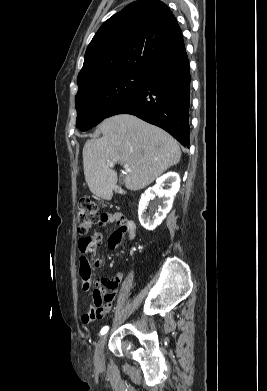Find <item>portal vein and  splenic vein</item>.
Returning a JSON list of instances; mask_svg holds the SVG:
<instances>
[{"instance_id": "obj_1", "label": "portal vein and splenic vein", "mask_w": 267, "mask_h": 391, "mask_svg": "<svg viewBox=\"0 0 267 391\" xmlns=\"http://www.w3.org/2000/svg\"><path fill=\"white\" fill-rule=\"evenodd\" d=\"M108 165H109L110 167H112L114 164H113V162L108 161ZM124 169H125L126 171H130L129 165H128V164H124Z\"/></svg>"}]
</instances>
